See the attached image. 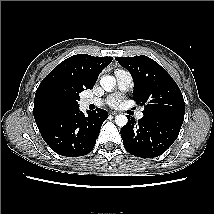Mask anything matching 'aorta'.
Listing matches in <instances>:
<instances>
[{"mask_svg": "<svg viewBox=\"0 0 214 214\" xmlns=\"http://www.w3.org/2000/svg\"><path fill=\"white\" fill-rule=\"evenodd\" d=\"M100 85L105 91H112L116 85V79L113 76L106 75L103 76L100 80ZM116 125L124 127L128 123V119L125 115H117L115 117Z\"/></svg>", "mask_w": 214, "mask_h": 214, "instance_id": "762f6f07", "label": "aorta"}]
</instances>
